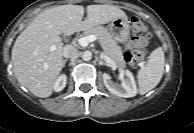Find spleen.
<instances>
[{"instance_id":"obj_1","label":"spleen","mask_w":194,"mask_h":133,"mask_svg":"<svg viewBox=\"0 0 194 133\" xmlns=\"http://www.w3.org/2000/svg\"><path fill=\"white\" fill-rule=\"evenodd\" d=\"M165 65V56L162 47L156 48L150 54L147 64L138 71L137 79L139 93L146 94L160 82Z\"/></svg>"}]
</instances>
